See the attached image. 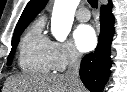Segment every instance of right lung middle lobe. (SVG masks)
Masks as SVG:
<instances>
[{"label":"right lung middle lobe","mask_w":127,"mask_h":92,"mask_svg":"<svg viewBox=\"0 0 127 92\" xmlns=\"http://www.w3.org/2000/svg\"><path fill=\"white\" fill-rule=\"evenodd\" d=\"M25 28L26 27L14 32L13 39H12V49H11V52H10V54L8 56V60H7L8 65L12 64V60H13V56H14V53H15L16 46H17V44L20 40V35L24 31Z\"/></svg>","instance_id":"1"}]
</instances>
